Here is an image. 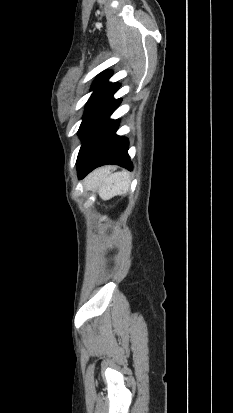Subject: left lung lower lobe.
<instances>
[{
    "mask_svg": "<svg viewBox=\"0 0 233 413\" xmlns=\"http://www.w3.org/2000/svg\"><path fill=\"white\" fill-rule=\"evenodd\" d=\"M120 103L121 99H112L84 133L76 163L80 179L96 167L105 164H117L132 170V163L127 153L128 140L116 135L118 120L109 119Z\"/></svg>",
    "mask_w": 233,
    "mask_h": 413,
    "instance_id": "obj_1",
    "label": "left lung lower lobe"
}]
</instances>
